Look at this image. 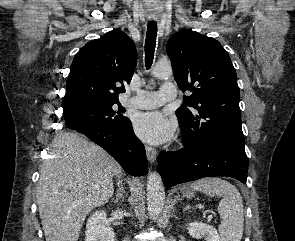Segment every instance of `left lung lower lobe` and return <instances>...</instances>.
Returning a JSON list of instances; mask_svg holds the SVG:
<instances>
[{
  "instance_id": "1",
  "label": "left lung lower lobe",
  "mask_w": 295,
  "mask_h": 241,
  "mask_svg": "<svg viewBox=\"0 0 295 241\" xmlns=\"http://www.w3.org/2000/svg\"><path fill=\"white\" fill-rule=\"evenodd\" d=\"M158 171L165 187L212 176L233 177L245 184L248 157L245 150L223 143L185 144L177 152H161Z\"/></svg>"
}]
</instances>
